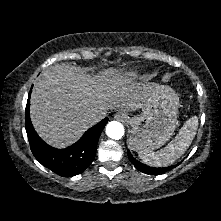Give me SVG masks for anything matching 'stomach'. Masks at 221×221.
<instances>
[{
    "instance_id": "0dacf381",
    "label": "stomach",
    "mask_w": 221,
    "mask_h": 221,
    "mask_svg": "<svg viewBox=\"0 0 221 221\" xmlns=\"http://www.w3.org/2000/svg\"><path fill=\"white\" fill-rule=\"evenodd\" d=\"M179 97L164 85H149L141 113L128 116L129 147L135 151L155 150L165 144L177 127Z\"/></svg>"
}]
</instances>
